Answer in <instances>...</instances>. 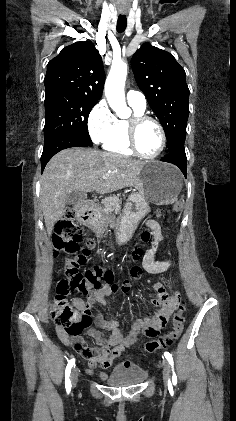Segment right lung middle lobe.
I'll return each instance as SVG.
<instances>
[{"mask_svg": "<svg viewBox=\"0 0 236 421\" xmlns=\"http://www.w3.org/2000/svg\"><path fill=\"white\" fill-rule=\"evenodd\" d=\"M97 102L96 99L67 92L46 93L44 143L56 136L66 135L92 145L87 120Z\"/></svg>", "mask_w": 236, "mask_h": 421, "instance_id": "obj_1", "label": "right lung middle lobe"}]
</instances>
